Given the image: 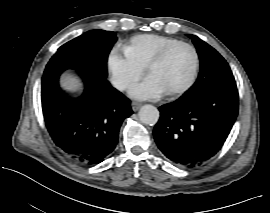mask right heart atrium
<instances>
[{
	"label": "right heart atrium",
	"mask_w": 270,
	"mask_h": 213,
	"mask_svg": "<svg viewBox=\"0 0 270 213\" xmlns=\"http://www.w3.org/2000/svg\"><path fill=\"white\" fill-rule=\"evenodd\" d=\"M108 65L115 85L121 90L132 87L145 73V67L132 61L126 52L121 55L113 51L109 56Z\"/></svg>",
	"instance_id": "obj_1"
}]
</instances>
